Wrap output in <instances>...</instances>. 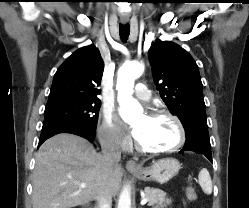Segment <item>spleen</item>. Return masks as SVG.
I'll list each match as a JSON object with an SVG mask.
<instances>
[{"label": "spleen", "mask_w": 249, "mask_h": 208, "mask_svg": "<svg viewBox=\"0 0 249 208\" xmlns=\"http://www.w3.org/2000/svg\"><path fill=\"white\" fill-rule=\"evenodd\" d=\"M198 179H199V184L202 190L204 191V193L208 195L211 194L212 193V181H211V177L207 169L205 168L201 169V171L199 172Z\"/></svg>", "instance_id": "spleen-1"}]
</instances>
